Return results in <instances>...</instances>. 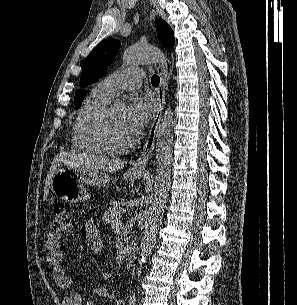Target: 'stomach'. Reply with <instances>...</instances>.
<instances>
[{
	"label": "stomach",
	"mask_w": 297,
	"mask_h": 305,
	"mask_svg": "<svg viewBox=\"0 0 297 305\" xmlns=\"http://www.w3.org/2000/svg\"><path fill=\"white\" fill-rule=\"evenodd\" d=\"M143 174L141 170L129 168L124 174V179H138ZM116 180L107 172L61 166L51 178L50 189L61 200L73 204L89 199L86 185L102 187Z\"/></svg>",
	"instance_id": "obj_1"
}]
</instances>
